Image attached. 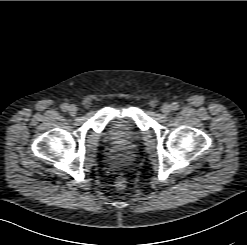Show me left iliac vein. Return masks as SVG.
Masks as SVG:
<instances>
[{"instance_id":"4c4485c4","label":"left iliac vein","mask_w":247,"mask_h":245,"mask_svg":"<svg viewBox=\"0 0 247 245\" xmlns=\"http://www.w3.org/2000/svg\"><path fill=\"white\" fill-rule=\"evenodd\" d=\"M161 111L163 114L168 115L171 112V105L168 103H165L161 107Z\"/></svg>"}]
</instances>
